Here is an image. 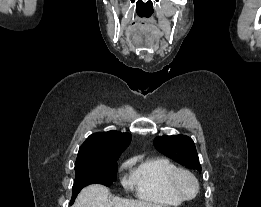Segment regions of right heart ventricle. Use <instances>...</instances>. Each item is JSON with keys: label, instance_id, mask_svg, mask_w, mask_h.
Instances as JSON below:
<instances>
[{"label": "right heart ventricle", "instance_id": "e07e8e85", "mask_svg": "<svg viewBox=\"0 0 261 207\" xmlns=\"http://www.w3.org/2000/svg\"><path fill=\"white\" fill-rule=\"evenodd\" d=\"M133 166L132 180L137 196L148 202L168 207L182 203L169 187V177L177 166L164 157H134L130 160Z\"/></svg>", "mask_w": 261, "mask_h": 207}]
</instances>
